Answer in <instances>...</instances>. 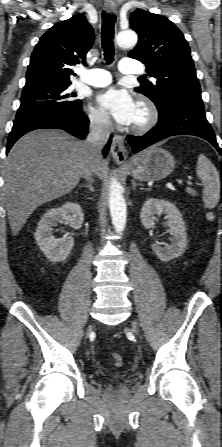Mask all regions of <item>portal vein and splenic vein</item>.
<instances>
[{"instance_id":"portal-vein-and-splenic-vein-1","label":"portal vein and splenic vein","mask_w":222,"mask_h":447,"mask_svg":"<svg viewBox=\"0 0 222 447\" xmlns=\"http://www.w3.org/2000/svg\"><path fill=\"white\" fill-rule=\"evenodd\" d=\"M179 183H182V181L180 180ZM186 184L189 185V186H192L193 182L188 180V181H186Z\"/></svg>"}]
</instances>
